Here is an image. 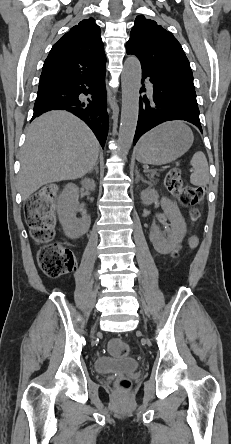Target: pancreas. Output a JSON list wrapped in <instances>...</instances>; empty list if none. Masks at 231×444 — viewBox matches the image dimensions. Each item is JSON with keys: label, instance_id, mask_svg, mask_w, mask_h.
<instances>
[{"label": "pancreas", "instance_id": "cf45deb5", "mask_svg": "<svg viewBox=\"0 0 231 444\" xmlns=\"http://www.w3.org/2000/svg\"><path fill=\"white\" fill-rule=\"evenodd\" d=\"M157 175V171L156 170H151L148 174L147 177L151 180V181H155L156 178L155 176Z\"/></svg>", "mask_w": 231, "mask_h": 444}]
</instances>
